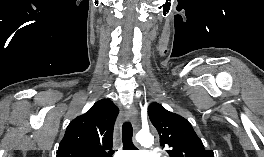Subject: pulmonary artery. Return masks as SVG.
I'll list each match as a JSON object with an SVG mask.
<instances>
[{"label":"pulmonary artery","mask_w":264,"mask_h":157,"mask_svg":"<svg viewBox=\"0 0 264 157\" xmlns=\"http://www.w3.org/2000/svg\"><path fill=\"white\" fill-rule=\"evenodd\" d=\"M130 156V157H157L150 150H139V151H131V152H123L119 157Z\"/></svg>","instance_id":"pulmonary-artery-1"}]
</instances>
